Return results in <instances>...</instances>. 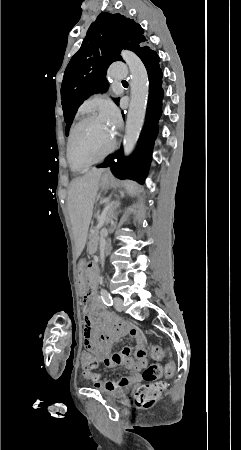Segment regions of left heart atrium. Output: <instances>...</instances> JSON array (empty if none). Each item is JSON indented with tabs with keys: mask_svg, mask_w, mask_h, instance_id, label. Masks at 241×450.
<instances>
[{
	"mask_svg": "<svg viewBox=\"0 0 241 450\" xmlns=\"http://www.w3.org/2000/svg\"><path fill=\"white\" fill-rule=\"evenodd\" d=\"M106 111H107V113H108L112 123L114 125H119V123H120V116H119L117 110L115 108H113L112 106H109V107L106 108Z\"/></svg>",
	"mask_w": 241,
	"mask_h": 450,
	"instance_id": "obj_1",
	"label": "left heart atrium"
}]
</instances>
